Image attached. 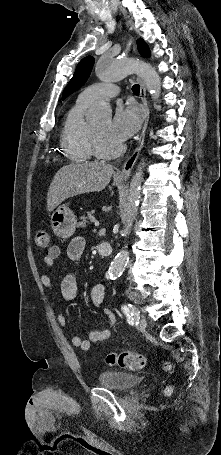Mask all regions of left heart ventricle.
Listing matches in <instances>:
<instances>
[{
    "mask_svg": "<svg viewBox=\"0 0 221 455\" xmlns=\"http://www.w3.org/2000/svg\"><path fill=\"white\" fill-rule=\"evenodd\" d=\"M110 123V118H106L93 125L99 135L102 146L106 149H111L120 143L119 140L111 135Z\"/></svg>",
    "mask_w": 221,
    "mask_h": 455,
    "instance_id": "1",
    "label": "left heart ventricle"
}]
</instances>
